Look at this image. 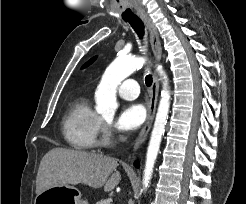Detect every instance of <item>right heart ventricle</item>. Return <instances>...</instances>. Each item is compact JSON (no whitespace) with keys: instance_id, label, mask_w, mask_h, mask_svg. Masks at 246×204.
<instances>
[{"instance_id":"obj_1","label":"right heart ventricle","mask_w":246,"mask_h":204,"mask_svg":"<svg viewBox=\"0 0 246 204\" xmlns=\"http://www.w3.org/2000/svg\"><path fill=\"white\" fill-rule=\"evenodd\" d=\"M102 118L88 99L80 97L69 106L62 123L66 143L76 150H92L99 145Z\"/></svg>"}]
</instances>
